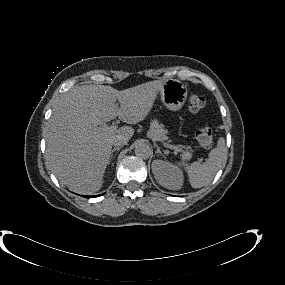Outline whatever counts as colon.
<instances>
[{
    "label": "colon",
    "instance_id": "obj_1",
    "mask_svg": "<svg viewBox=\"0 0 285 285\" xmlns=\"http://www.w3.org/2000/svg\"><path fill=\"white\" fill-rule=\"evenodd\" d=\"M205 103V98L201 94L195 92L191 93L188 100V106L192 112L202 110ZM196 139L201 147L206 149L210 148L213 144V134L210 126L207 124L201 126L196 133Z\"/></svg>",
    "mask_w": 285,
    "mask_h": 285
}]
</instances>
